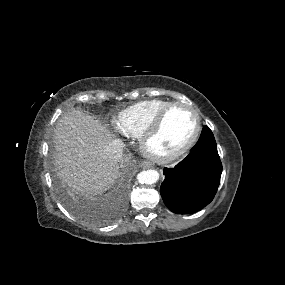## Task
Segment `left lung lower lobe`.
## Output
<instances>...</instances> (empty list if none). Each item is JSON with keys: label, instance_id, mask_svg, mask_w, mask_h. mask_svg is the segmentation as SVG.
<instances>
[{"label": "left lung lower lobe", "instance_id": "0a47b994", "mask_svg": "<svg viewBox=\"0 0 285 285\" xmlns=\"http://www.w3.org/2000/svg\"><path fill=\"white\" fill-rule=\"evenodd\" d=\"M160 193L174 213H194L214 198L221 178L222 163L212 131L205 126L196 145L174 168H164Z\"/></svg>", "mask_w": 285, "mask_h": 285}]
</instances>
